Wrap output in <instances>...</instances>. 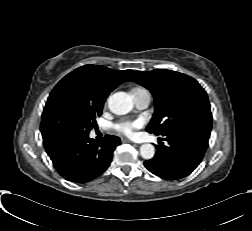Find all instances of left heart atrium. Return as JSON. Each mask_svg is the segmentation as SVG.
<instances>
[{"label": "left heart atrium", "mask_w": 252, "mask_h": 231, "mask_svg": "<svg viewBox=\"0 0 252 231\" xmlns=\"http://www.w3.org/2000/svg\"><path fill=\"white\" fill-rule=\"evenodd\" d=\"M142 125L143 120L141 119L125 120L117 123L115 128L125 135H131L135 129L142 127Z\"/></svg>", "instance_id": "left-heart-atrium-1"}]
</instances>
